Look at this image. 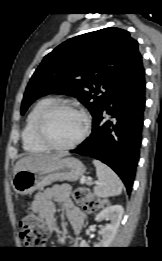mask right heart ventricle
Masks as SVG:
<instances>
[{
	"label": "right heart ventricle",
	"mask_w": 162,
	"mask_h": 261,
	"mask_svg": "<svg viewBox=\"0 0 162 261\" xmlns=\"http://www.w3.org/2000/svg\"><path fill=\"white\" fill-rule=\"evenodd\" d=\"M53 102L54 99L50 97H44L38 100L26 118L25 126L22 131V141L24 149L29 153H43L47 150L37 139L36 125L41 113Z\"/></svg>",
	"instance_id": "right-heart-ventricle-1"
}]
</instances>
